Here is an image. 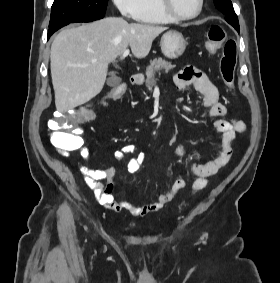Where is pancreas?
<instances>
[{
  "label": "pancreas",
  "instance_id": "1",
  "mask_svg": "<svg viewBox=\"0 0 280 283\" xmlns=\"http://www.w3.org/2000/svg\"><path fill=\"white\" fill-rule=\"evenodd\" d=\"M175 68L170 62L163 60L162 58L154 59L150 61V65L146 69V80L145 85L149 91H152L156 84V73H161L164 70L168 73L171 69Z\"/></svg>",
  "mask_w": 280,
  "mask_h": 283
}]
</instances>
